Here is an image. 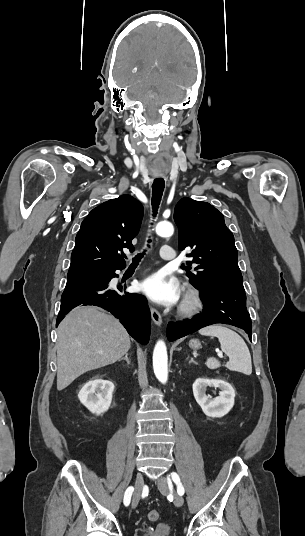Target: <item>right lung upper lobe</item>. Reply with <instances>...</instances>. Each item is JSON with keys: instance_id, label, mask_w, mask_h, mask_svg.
Returning <instances> with one entry per match:
<instances>
[{"instance_id": "1", "label": "right lung upper lobe", "mask_w": 305, "mask_h": 536, "mask_svg": "<svg viewBox=\"0 0 305 536\" xmlns=\"http://www.w3.org/2000/svg\"><path fill=\"white\" fill-rule=\"evenodd\" d=\"M143 206L134 197L122 195L91 210L83 220L71 254L68 279L123 269L118 253L134 250L132 239L138 234Z\"/></svg>"}]
</instances>
